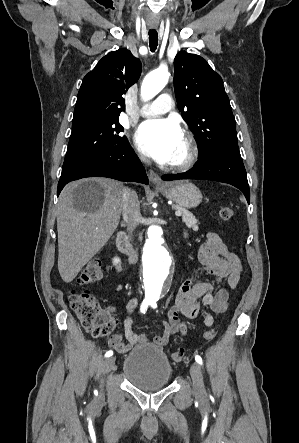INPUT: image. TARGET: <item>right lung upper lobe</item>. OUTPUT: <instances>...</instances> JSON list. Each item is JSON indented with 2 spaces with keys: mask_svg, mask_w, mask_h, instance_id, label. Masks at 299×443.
<instances>
[{
  "mask_svg": "<svg viewBox=\"0 0 299 443\" xmlns=\"http://www.w3.org/2000/svg\"><path fill=\"white\" fill-rule=\"evenodd\" d=\"M140 74L141 63L129 50L121 48L104 56L82 81L73 123L89 118L118 117L125 110L122 95Z\"/></svg>",
  "mask_w": 299,
  "mask_h": 443,
  "instance_id": "right-lung-upper-lobe-1",
  "label": "right lung upper lobe"
}]
</instances>
